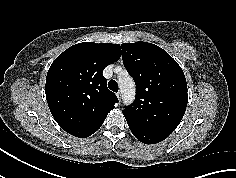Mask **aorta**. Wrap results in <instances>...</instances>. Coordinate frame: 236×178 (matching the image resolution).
Returning <instances> with one entry per match:
<instances>
[{"label": "aorta", "instance_id": "aorta-1", "mask_svg": "<svg viewBox=\"0 0 236 178\" xmlns=\"http://www.w3.org/2000/svg\"><path fill=\"white\" fill-rule=\"evenodd\" d=\"M119 87L122 92V100L124 104L129 105L135 99V83L132 77L125 75L119 79Z\"/></svg>", "mask_w": 236, "mask_h": 178}]
</instances>
